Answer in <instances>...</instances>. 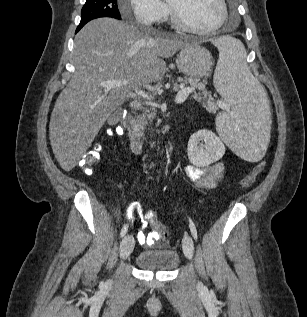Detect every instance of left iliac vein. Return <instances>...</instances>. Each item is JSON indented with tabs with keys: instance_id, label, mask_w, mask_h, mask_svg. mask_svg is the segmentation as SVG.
I'll return each instance as SVG.
<instances>
[{
	"instance_id": "left-iliac-vein-1",
	"label": "left iliac vein",
	"mask_w": 307,
	"mask_h": 317,
	"mask_svg": "<svg viewBox=\"0 0 307 317\" xmlns=\"http://www.w3.org/2000/svg\"><path fill=\"white\" fill-rule=\"evenodd\" d=\"M183 251L188 259L193 258L194 254V243L189 235H185L182 241ZM199 287L203 288V285L199 283Z\"/></svg>"
}]
</instances>
